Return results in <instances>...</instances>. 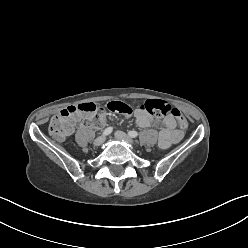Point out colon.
I'll return each instance as SVG.
<instances>
[{"instance_id": "colon-1", "label": "colon", "mask_w": 248, "mask_h": 248, "mask_svg": "<svg viewBox=\"0 0 248 248\" xmlns=\"http://www.w3.org/2000/svg\"><path fill=\"white\" fill-rule=\"evenodd\" d=\"M107 108L112 112L122 113L129 121L133 120L134 111L131 106L121 101H111ZM140 109L151 114L154 117H163L167 115L174 116L182 130L188 126L184 115L171 105L160 100H146L140 105ZM85 117L95 125H102L107 121V115L104 109L96 103L87 102L76 106H69L58 112L50 121L49 133L52 138L62 140L69 135L78 119Z\"/></svg>"}]
</instances>
